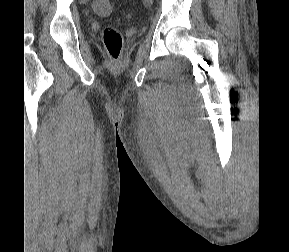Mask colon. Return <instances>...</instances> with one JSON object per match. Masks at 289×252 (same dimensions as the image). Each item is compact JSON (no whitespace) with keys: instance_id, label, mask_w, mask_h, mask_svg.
Listing matches in <instances>:
<instances>
[{"instance_id":"obj_1","label":"colon","mask_w":289,"mask_h":252,"mask_svg":"<svg viewBox=\"0 0 289 252\" xmlns=\"http://www.w3.org/2000/svg\"><path fill=\"white\" fill-rule=\"evenodd\" d=\"M94 8L100 15H109L113 11L114 5L111 0H96ZM102 41L111 60L113 62L119 61L123 49L121 32L113 26H106L102 31Z\"/></svg>"}]
</instances>
